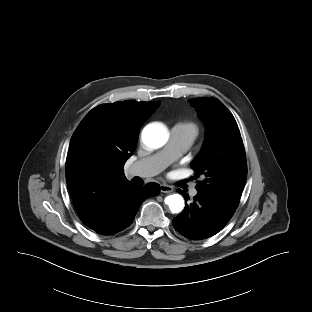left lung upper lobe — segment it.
I'll return each mask as SVG.
<instances>
[{
	"instance_id": "obj_1",
	"label": "left lung upper lobe",
	"mask_w": 312,
	"mask_h": 312,
	"mask_svg": "<svg viewBox=\"0 0 312 312\" xmlns=\"http://www.w3.org/2000/svg\"><path fill=\"white\" fill-rule=\"evenodd\" d=\"M190 102L207 128L204 148L191 163L196 174L204 176L195 188L237 208L247 178V163L236 120L216 98H196Z\"/></svg>"
}]
</instances>
